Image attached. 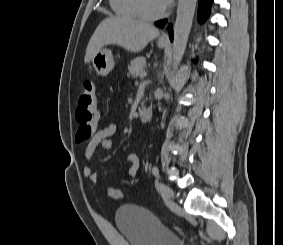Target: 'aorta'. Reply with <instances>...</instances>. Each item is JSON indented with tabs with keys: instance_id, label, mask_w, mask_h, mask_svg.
<instances>
[{
	"instance_id": "aorta-1",
	"label": "aorta",
	"mask_w": 283,
	"mask_h": 245,
	"mask_svg": "<svg viewBox=\"0 0 283 245\" xmlns=\"http://www.w3.org/2000/svg\"><path fill=\"white\" fill-rule=\"evenodd\" d=\"M197 0H179L177 7V16L174 26L173 40V73L177 70L188 41L192 27Z\"/></svg>"
}]
</instances>
